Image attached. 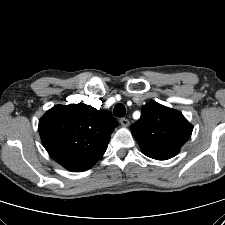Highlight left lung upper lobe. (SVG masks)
<instances>
[{
    "instance_id": "obj_1",
    "label": "left lung upper lobe",
    "mask_w": 225,
    "mask_h": 225,
    "mask_svg": "<svg viewBox=\"0 0 225 225\" xmlns=\"http://www.w3.org/2000/svg\"><path fill=\"white\" fill-rule=\"evenodd\" d=\"M192 130L182 113L155 101L142 107L140 119L131 127L142 152L156 160H167L178 154Z\"/></svg>"
}]
</instances>
